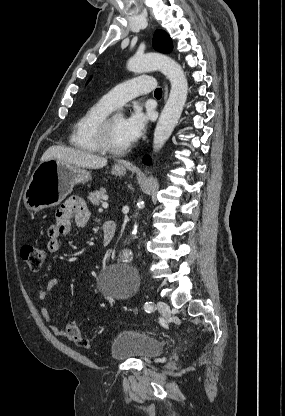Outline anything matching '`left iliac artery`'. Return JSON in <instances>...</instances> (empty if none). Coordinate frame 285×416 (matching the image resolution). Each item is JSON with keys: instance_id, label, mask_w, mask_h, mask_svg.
Segmentation results:
<instances>
[{"instance_id": "1", "label": "left iliac artery", "mask_w": 285, "mask_h": 416, "mask_svg": "<svg viewBox=\"0 0 285 416\" xmlns=\"http://www.w3.org/2000/svg\"><path fill=\"white\" fill-rule=\"evenodd\" d=\"M144 309H145V311H146L147 313H151L152 311H154V306H153L152 302L147 301V302L144 304Z\"/></svg>"}]
</instances>
